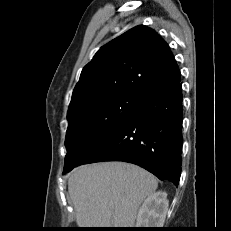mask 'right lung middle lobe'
I'll use <instances>...</instances> for the list:
<instances>
[{"label":"right lung middle lobe","instance_id":"1","mask_svg":"<svg viewBox=\"0 0 231 231\" xmlns=\"http://www.w3.org/2000/svg\"><path fill=\"white\" fill-rule=\"evenodd\" d=\"M139 100L138 96L119 94L68 113L64 171L76 166L131 117L137 111Z\"/></svg>","mask_w":231,"mask_h":231}]
</instances>
